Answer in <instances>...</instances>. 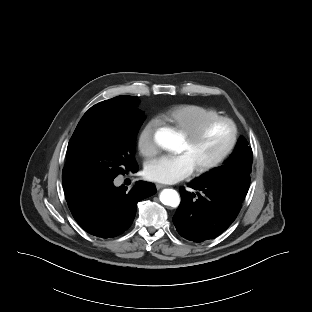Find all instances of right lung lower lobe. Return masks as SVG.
<instances>
[{
    "label": "right lung lower lobe",
    "instance_id": "obj_1",
    "mask_svg": "<svg viewBox=\"0 0 312 312\" xmlns=\"http://www.w3.org/2000/svg\"><path fill=\"white\" fill-rule=\"evenodd\" d=\"M155 192L152 183L139 181L127 191L124 185L115 187L111 180L66 201L74 219L86 232L111 238L130 227L137 203Z\"/></svg>",
    "mask_w": 312,
    "mask_h": 312
}]
</instances>
